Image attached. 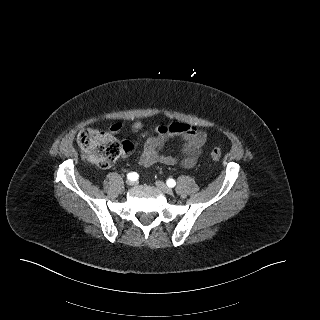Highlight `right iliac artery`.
Wrapping results in <instances>:
<instances>
[{
    "instance_id": "82829eb1",
    "label": "right iliac artery",
    "mask_w": 320,
    "mask_h": 320,
    "mask_svg": "<svg viewBox=\"0 0 320 320\" xmlns=\"http://www.w3.org/2000/svg\"><path fill=\"white\" fill-rule=\"evenodd\" d=\"M127 178H128L129 180L135 181V180L138 179V174L135 173V172L128 173V174H127Z\"/></svg>"
}]
</instances>
